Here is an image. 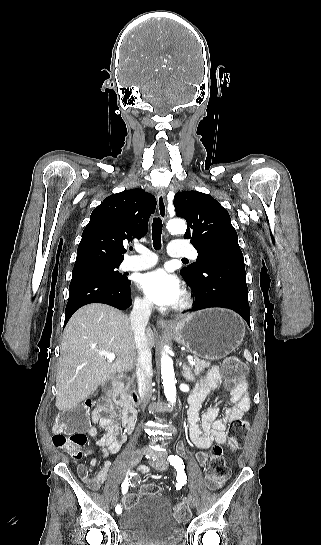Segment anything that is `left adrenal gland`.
Wrapping results in <instances>:
<instances>
[{"instance_id":"a2214340","label":"left adrenal gland","mask_w":321,"mask_h":545,"mask_svg":"<svg viewBox=\"0 0 321 545\" xmlns=\"http://www.w3.org/2000/svg\"><path fill=\"white\" fill-rule=\"evenodd\" d=\"M182 369H183L182 375H183L184 379H186V381H194V377H193L189 367H187V365H183Z\"/></svg>"}]
</instances>
